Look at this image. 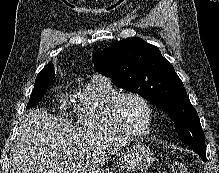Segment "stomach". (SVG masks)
I'll return each instance as SVG.
<instances>
[{
    "label": "stomach",
    "instance_id": "0dacf381",
    "mask_svg": "<svg viewBox=\"0 0 219 173\" xmlns=\"http://www.w3.org/2000/svg\"><path fill=\"white\" fill-rule=\"evenodd\" d=\"M155 161L154 152L145 144L134 142L125 146L118 154L115 161V168H102L99 173H138L145 171Z\"/></svg>",
    "mask_w": 219,
    "mask_h": 173
}]
</instances>
